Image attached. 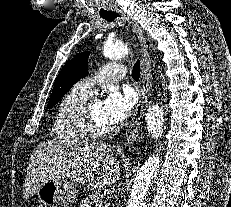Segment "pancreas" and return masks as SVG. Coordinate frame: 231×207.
<instances>
[{
	"instance_id": "pancreas-1",
	"label": "pancreas",
	"mask_w": 231,
	"mask_h": 207,
	"mask_svg": "<svg viewBox=\"0 0 231 207\" xmlns=\"http://www.w3.org/2000/svg\"><path fill=\"white\" fill-rule=\"evenodd\" d=\"M96 203H98L101 207L102 194L100 192L92 193L88 197L82 199L80 201L79 207H92L93 205L96 206Z\"/></svg>"
}]
</instances>
